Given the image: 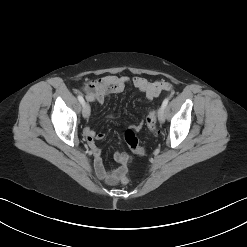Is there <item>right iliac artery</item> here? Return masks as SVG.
Masks as SVG:
<instances>
[{"mask_svg": "<svg viewBox=\"0 0 247 247\" xmlns=\"http://www.w3.org/2000/svg\"><path fill=\"white\" fill-rule=\"evenodd\" d=\"M78 100L82 105H84L85 101L82 95H78Z\"/></svg>", "mask_w": 247, "mask_h": 247, "instance_id": "right-iliac-artery-1", "label": "right iliac artery"}]
</instances>
